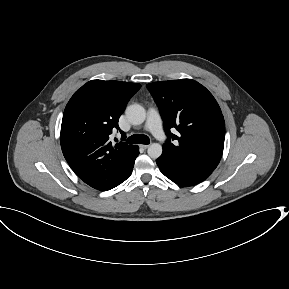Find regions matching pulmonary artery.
Returning a JSON list of instances; mask_svg holds the SVG:
<instances>
[{
    "label": "pulmonary artery",
    "instance_id": "obj_1",
    "mask_svg": "<svg viewBox=\"0 0 289 289\" xmlns=\"http://www.w3.org/2000/svg\"><path fill=\"white\" fill-rule=\"evenodd\" d=\"M145 130L151 132L157 139L164 140L165 133L162 128V121L159 112L155 108H149Z\"/></svg>",
    "mask_w": 289,
    "mask_h": 289
}]
</instances>
